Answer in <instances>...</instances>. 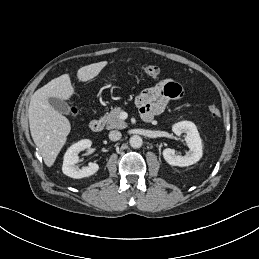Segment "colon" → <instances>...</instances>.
I'll return each instance as SVG.
<instances>
[{
  "label": "colon",
  "instance_id": "obj_1",
  "mask_svg": "<svg viewBox=\"0 0 259 259\" xmlns=\"http://www.w3.org/2000/svg\"><path fill=\"white\" fill-rule=\"evenodd\" d=\"M140 71L151 77H157L161 72L160 68L156 65H142L140 67ZM208 111L214 117H218L221 114L219 107L214 104L208 106ZM70 112L75 116L77 114V109L75 107H71Z\"/></svg>",
  "mask_w": 259,
  "mask_h": 259
}]
</instances>
